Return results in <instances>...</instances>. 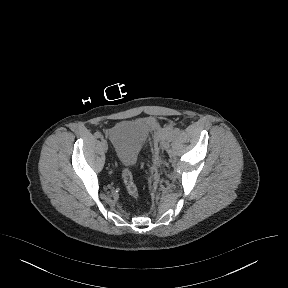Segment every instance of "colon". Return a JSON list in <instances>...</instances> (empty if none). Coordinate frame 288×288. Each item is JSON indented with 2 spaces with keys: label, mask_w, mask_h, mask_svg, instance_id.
Here are the masks:
<instances>
[{
  "label": "colon",
  "mask_w": 288,
  "mask_h": 288,
  "mask_svg": "<svg viewBox=\"0 0 288 288\" xmlns=\"http://www.w3.org/2000/svg\"><path fill=\"white\" fill-rule=\"evenodd\" d=\"M122 179L128 194L135 199L138 198L139 192L137 185L135 184L132 172L128 169L123 170Z\"/></svg>",
  "instance_id": "obj_1"
}]
</instances>
